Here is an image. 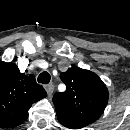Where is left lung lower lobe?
I'll return each mask as SVG.
<instances>
[{
    "mask_svg": "<svg viewBox=\"0 0 130 130\" xmlns=\"http://www.w3.org/2000/svg\"><path fill=\"white\" fill-rule=\"evenodd\" d=\"M59 122L70 129H80L90 124L87 120L69 116L65 113L56 111Z\"/></svg>",
    "mask_w": 130,
    "mask_h": 130,
    "instance_id": "1",
    "label": "left lung lower lobe"
}]
</instances>
